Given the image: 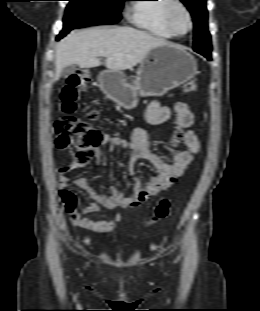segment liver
Returning a JSON list of instances; mask_svg holds the SVG:
<instances>
[{
    "instance_id": "liver-1",
    "label": "liver",
    "mask_w": 260,
    "mask_h": 311,
    "mask_svg": "<svg viewBox=\"0 0 260 311\" xmlns=\"http://www.w3.org/2000/svg\"><path fill=\"white\" fill-rule=\"evenodd\" d=\"M169 44L163 39L131 27H94L71 32L56 48L55 80L63 68L98 67L99 57H106L105 66L121 71L141 63L151 49Z\"/></svg>"
}]
</instances>
